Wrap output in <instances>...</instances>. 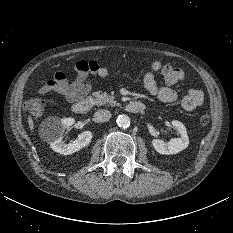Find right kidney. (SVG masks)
Masks as SVG:
<instances>
[{"label": "right kidney", "instance_id": "obj_1", "mask_svg": "<svg viewBox=\"0 0 233 233\" xmlns=\"http://www.w3.org/2000/svg\"><path fill=\"white\" fill-rule=\"evenodd\" d=\"M75 123L74 118L49 117L42 122V132L45 141L50 143L53 151L60 154H73L87 146L92 139V132L87 130L78 135V138L70 143L63 141V132Z\"/></svg>", "mask_w": 233, "mask_h": 233}]
</instances>
